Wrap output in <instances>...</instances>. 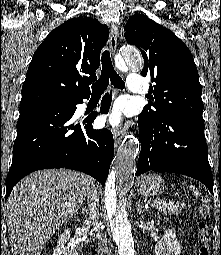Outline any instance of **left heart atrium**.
I'll list each match as a JSON object with an SVG mask.
<instances>
[{
	"mask_svg": "<svg viewBox=\"0 0 221 255\" xmlns=\"http://www.w3.org/2000/svg\"><path fill=\"white\" fill-rule=\"evenodd\" d=\"M123 109L120 104L116 103L110 113L107 115L106 120L111 124V125H117L121 121V116H122Z\"/></svg>",
	"mask_w": 221,
	"mask_h": 255,
	"instance_id": "39dd6f15",
	"label": "left heart atrium"
}]
</instances>
